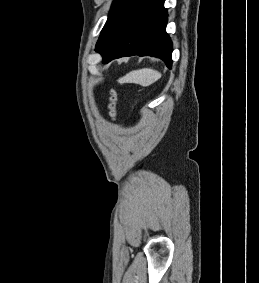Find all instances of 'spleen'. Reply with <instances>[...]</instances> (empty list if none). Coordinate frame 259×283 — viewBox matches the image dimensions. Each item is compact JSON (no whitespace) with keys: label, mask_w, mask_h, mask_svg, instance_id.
<instances>
[{"label":"spleen","mask_w":259,"mask_h":283,"mask_svg":"<svg viewBox=\"0 0 259 283\" xmlns=\"http://www.w3.org/2000/svg\"><path fill=\"white\" fill-rule=\"evenodd\" d=\"M161 77V74L153 69L143 68L128 73L121 79L124 83H136L141 86H149L156 82Z\"/></svg>","instance_id":"3e777b00"}]
</instances>
